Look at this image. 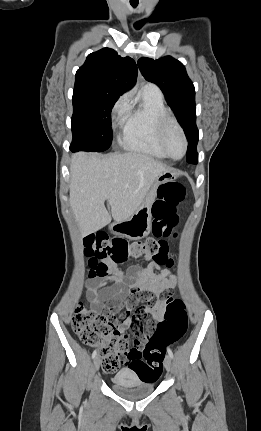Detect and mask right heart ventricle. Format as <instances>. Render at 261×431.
Returning a JSON list of instances; mask_svg holds the SVG:
<instances>
[{"instance_id": "1", "label": "right heart ventricle", "mask_w": 261, "mask_h": 431, "mask_svg": "<svg viewBox=\"0 0 261 431\" xmlns=\"http://www.w3.org/2000/svg\"><path fill=\"white\" fill-rule=\"evenodd\" d=\"M140 102L130 105L122 121L120 144L123 148L156 158H167L158 141V124L168 113L161 94L146 88Z\"/></svg>"}]
</instances>
